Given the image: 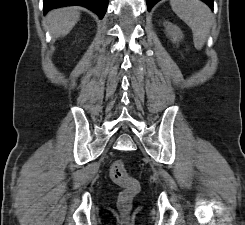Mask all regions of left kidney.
I'll use <instances>...</instances> for the list:
<instances>
[{
    "label": "left kidney",
    "mask_w": 245,
    "mask_h": 225,
    "mask_svg": "<svg viewBox=\"0 0 245 225\" xmlns=\"http://www.w3.org/2000/svg\"><path fill=\"white\" fill-rule=\"evenodd\" d=\"M164 25L166 27L167 35L171 38L173 42H178L183 38L182 31L178 26L173 25L170 22H165Z\"/></svg>",
    "instance_id": "5707ae66"
}]
</instances>
